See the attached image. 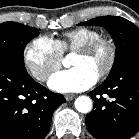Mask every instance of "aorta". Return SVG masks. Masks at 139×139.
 I'll use <instances>...</instances> for the list:
<instances>
[{"mask_svg":"<svg viewBox=\"0 0 139 139\" xmlns=\"http://www.w3.org/2000/svg\"><path fill=\"white\" fill-rule=\"evenodd\" d=\"M63 63L65 66H68L70 64L69 59H64ZM74 105L77 111L81 113H89L93 107L91 98L85 95L76 98Z\"/></svg>","mask_w":139,"mask_h":139,"instance_id":"762f6f07","label":"aorta"}]
</instances>
